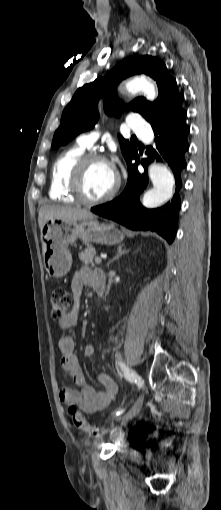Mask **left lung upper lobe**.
<instances>
[{
  "mask_svg": "<svg viewBox=\"0 0 221 510\" xmlns=\"http://www.w3.org/2000/svg\"><path fill=\"white\" fill-rule=\"evenodd\" d=\"M147 74L156 80L159 95L153 103L144 97L135 98L126 108L140 113L151 125L175 118L186 112L182 108L183 94L177 89L176 80L169 75L163 61L144 55L129 57L116 65L104 78L85 84L74 94L62 113L52 148L57 149L74 139L79 133L94 127L100 117V96L109 115L119 116L123 104L115 97V89L121 79L135 74ZM126 162L137 153L135 145L119 137Z\"/></svg>",
  "mask_w": 221,
  "mask_h": 510,
  "instance_id": "left-lung-upper-lobe-1",
  "label": "left lung upper lobe"
}]
</instances>
